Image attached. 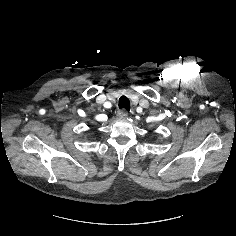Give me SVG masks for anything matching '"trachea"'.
<instances>
[{
	"mask_svg": "<svg viewBox=\"0 0 236 236\" xmlns=\"http://www.w3.org/2000/svg\"><path fill=\"white\" fill-rule=\"evenodd\" d=\"M119 108L130 110V101L126 96H121L119 99Z\"/></svg>",
	"mask_w": 236,
	"mask_h": 236,
	"instance_id": "3493384b",
	"label": "trachea"
}]
</instances>
